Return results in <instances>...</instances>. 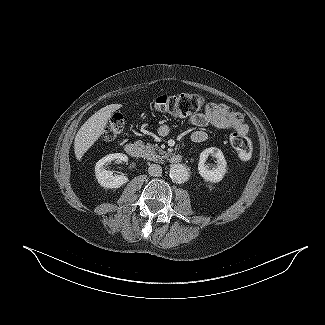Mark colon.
<instances>
[{
	"mask_svg": "<svg viewBox=\"0 0 325 325\" xmlns=\"http://www.w3.org/2000/svg\"><path fill=\"white\" fill-rule=\"evenodd\" d=\"M204 101V97L196 93L166 94L156 98L154 108L159 113L180 118L194 115L200 111ZM123 127V117L118 114L114 115L105 132V138L107 140L114 139L122 131ZM230 140L240 160L247 161L252 157L253 146L247 137L235 132Z\"/></svg>",
	"mask_w": 325,
	"mask_h": 325,
	"instance_id": "colon-1",
	"label": "colon"
}]
</instances>
